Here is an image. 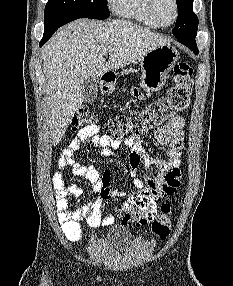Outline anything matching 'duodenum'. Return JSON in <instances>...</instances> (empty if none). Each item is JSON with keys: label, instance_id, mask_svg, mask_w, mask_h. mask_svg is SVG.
Here are the masks:
<instances>
[{"label": "duodenum", "instance_id": "obj_1", "mask_svg": "<svg viewBox=\"0 0 233 286\" xmlns=\"http://www.w3.org/2000/svg\"><path fill=\"white\" fill-rule=\"evenodd\" d=\"M102 79L106 85H110L114 82L115 76L112 72H107L103 75Z\"/></svg>", "mask_w": 233, "mask_h": 286}]
</instances>
